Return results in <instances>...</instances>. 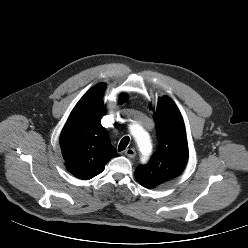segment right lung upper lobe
Wrapping results in <instances>:
<instances>
[{
    "instance_id": "cb5924a9",
    "label": "right lung upper lobe",
    "mask_w": 248,
    "mask_h": 248,
    "mask_svg": "<svg viewBox=\"0 0 248 248\" xmlns=\"http://www.w3.org/2000/svg\"><path fill=\"white\" fill-rule=\"evenodd\" d=\"M105 84L91 88L72 110L60 136V146L66 167L77 178L89 180L100 174L107 162L117 156L107 131L101 125L106 113L103 104ZM126 94H121L119 103H124Z\"/></svg>"
}]
</instances>
